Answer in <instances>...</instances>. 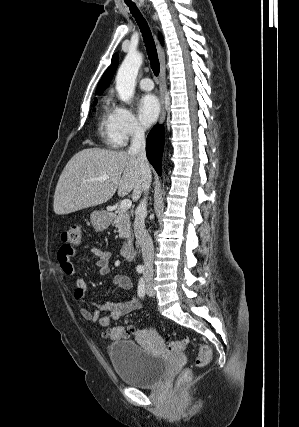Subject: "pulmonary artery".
<instances>
[{"label": "pulmonary artery", "instance_id": "e3ab8cb5", "mask_svg": "<svg viewBox=\"0 0 299 427\" xmlns=\"http://www.w3.org/2000/svg\"><path fill=\"white\" fill-rule=\"evenodd\" d=\"M139 87L144 91H150L153 89L154 84L149 77H144L139 81Z\"/></svg>", "mask_w": 299, "mask_h": 427}]
</instances>
